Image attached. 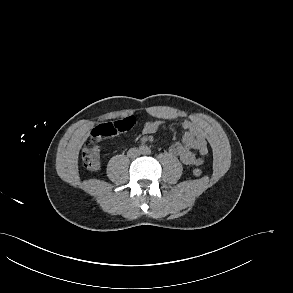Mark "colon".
<instances>
[{"label":"colon","instance_id":"1","mask_svg":"<svg viewBox=\"0 0 293 293\" xmlns=\"http://www.w3.org/2000/svg\"><path fill=\"white\" fill-rule=\"evenodd\" d=\"M134 127V120L131 117L117 121L115 123H105L97 126L92 131L91 139L86 143L82 152L84 166L90 171H97L100 168L99 143L105 139H112L123 132ZM192 174L196 177L202 174L200 168H193Z\"/></svg>","mask_w":293,"mask_h":293}]
</instances>
